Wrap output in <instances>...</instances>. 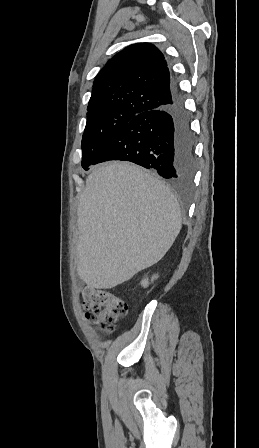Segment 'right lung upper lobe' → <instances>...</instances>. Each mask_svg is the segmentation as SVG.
Segmentation results:
<instances>
[{
    "instance_id": "1",
    "label": "right lung upper lobe",
    "mask_w": 259,
    "mask_h": 448,
    "mask_svg": "<svg viewBox=\"0 0 259 448\" xmlns=\"http://www.w3.org/2000/svg\"><path fill=\"white\" fill-rule=\"evenodd\" d=\"M88 113L146 112L172 100L171 74L162 52L150 43L130 45L96 76Z\"/></svg>"
}]
</instances>
